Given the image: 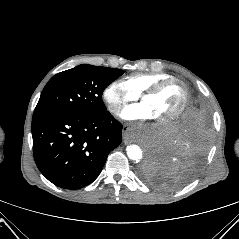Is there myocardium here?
I'll use <instances>...</instances> for the list:
<instances>
[{
	"instance_id": "myocardium-1",
	"label": "myocardium",
	"mask_w": 239,
	"mask_h": 239,
	"mask_svg": "<svg viewBox=\"0 0 239 239\" xmlns=\"http://www.w3.org/2000/svg\"><path fill=\"white\" fill-rule=\"evenodd\" d=\"M171 84H176L181 88V90L183 92V101H182L180 108L175 113H173L172 115L168 116L165 119L160 120L159 121L160 123H168V122L174 121V120L178 119L185 112V110L187 109V106L189 104V99H190V93H189L187 86L179 79L171 77V78L161 80V81L151 85L150 87L145 89L141 93V96H140L141 99L143 100L147 96H152V95L159 93L162 89H164L165 87H167Z\"/></svg>"
}]
</instances>
